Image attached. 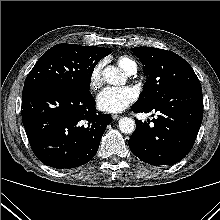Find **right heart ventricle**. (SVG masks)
<instances>
[{"instance_id":"obj_1","label":"right heart ventricle","mask_w":220,"mask_h":220,"mask_svg":"<svg viewBox=\"0 0 220 220\" xmlns=\"http://www.w3.org/2000/svg\"><path fill=\"white\" fill-rule=\"evenodd\" d=\"M117 61L119 66L127 73H129L133 68H137L135 61L129 56H120Z\"/></svg>"}]
</instances>
